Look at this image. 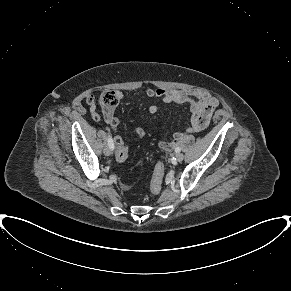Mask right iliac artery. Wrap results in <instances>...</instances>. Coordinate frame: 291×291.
<instances>
[{
  "instance_id": "obj_1",
  "label": "right iliac artery",
  "mask_w": 291,
  "mask_h": 291,
  "mask_svg": "<svg viewBox=\"0 0 291 291\" xmlns=\"http://www.w3.org/2000/svg\"><path fill=\"white\" fill-rule=\"evenodd\" d=\"M108 146L113 150L114 149V142L111 136H108Z\"/></svg>"
}]
</instances>
